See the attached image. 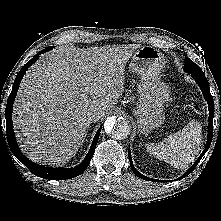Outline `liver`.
<instances>
[{"label": "liver", "mask_w": 221, "mask_h": 221, "mask_svg": "<svg viewBox=\"0 0 221 221\" xmlns=\"http://www.w3.org/2000/svg\"><path fill=\"white\" fill-rule=\"evenodd\" d=\"M139 46L59 48L33 64L13 107L14 129L25 155L52 166L74 157L90 114L107 113L122 96L126 64Z\"/></svg>", "instance_id": "obj_1"}]
</instances>
